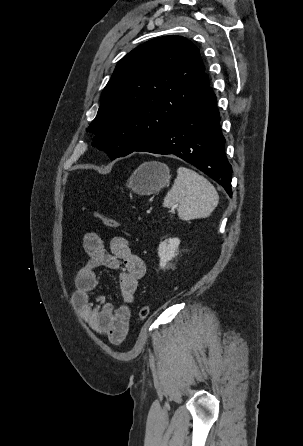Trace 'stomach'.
Listing matches in <instances>:
<instances>
[{"mask_svg": "<svg viewBox=\"0 0 303 446\" xmlns=\"http://www.w3.org/2000/svg\"><path fill=\"white\" fill-rule=\"evenodd\" d=\"M170 178V169L166 164L150 161L133 172L126 186L139 195H151L167 186Z\"/></svg>", "mask_w": 303, "mask_h": 446, "instance_id": "stomach-1", "label": "stomach"}]
</instances>
